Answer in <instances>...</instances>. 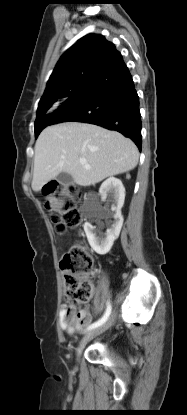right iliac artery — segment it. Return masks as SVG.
Masks as SVG:
<instances>
[{
	"mask_svg": "<svg viewBox=\"0 0 187 415\" xmlns=\"http://www.w3.org/2000/svg\"><path fill=\"white\" fill-rule=\"evenodd\" d=\"M111 309H112L111 304L108 302L107 303V308H106V311H105L103 317L101 319H99L98 321L94 322L93 324H91L87 328V330H92V329L97 328V327L101 326L102 324H104L107 321V319L109 318L110 314H111Z\"/></svg>",
	"mask_w": 187,
	"mask_h": 415,
	"instance_id": "82829eb1",
	"label": "right iliac artery"
}]
</instances>
